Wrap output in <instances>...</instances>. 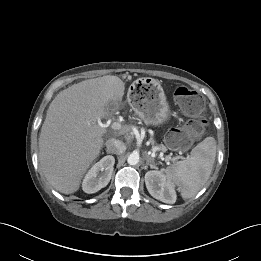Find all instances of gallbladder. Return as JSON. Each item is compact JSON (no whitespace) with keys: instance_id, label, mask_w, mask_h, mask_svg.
Segmentation results:
<instances>
[{"instance_id":"obj_1","label":"gallbladder","mask_w":261,"mask_h":261,"mask_svg":"<svg viewBox=\"0 0 261 261\" xmlns=\"http://www.w3.org/2000/svg\"><path fill=\"white\" fill-rule=\"evenodd\" d=\"M115 107V104L113 102L109 103L107 105V108L110 109V108H114Z\"/></svg>"}]
</instances>
